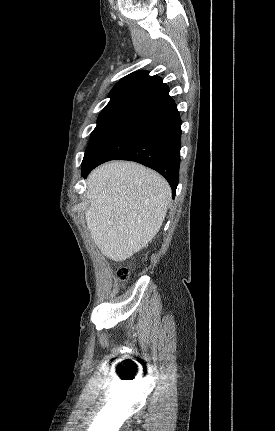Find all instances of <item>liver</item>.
Returning a JSON list of instances; mask_svg holds the SVG:
<instances>
[{"mask_svg": "<svg viewBox=\"0 0 275 431\" xmlns=\"http://www.w3.org/2000/svg\"><path fill=\"white\" fill-rule=\"evenodd\" d=\"M87 185V226L107 258L126 260L159 232L171 188L155 171L134 162L114 161L93 170Z\"/></svg>", "mask_w": 275, "mask_h": 431, "instance_id": "1", "label": "liver"}]
</instances>
